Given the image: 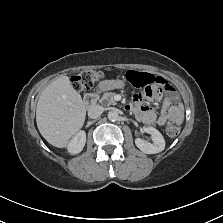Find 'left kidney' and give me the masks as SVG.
<instances>
[{
    "mask_svg": "<svg viewBox=\"0 0 223 223\" xmlns=\"http://www.w3.org/2000/svg\"><path fill=\"white\" fill-rule=\"evenodd\" d=\"M144 130L151 135L153 144L137 138L135 140L136 146L146 154H155L163 151L165 148V140L162 134L153 127H146Z\"/></svg>",
    "mask_w": 223,
    "mask_h": 223,
    "instance_id": "5707ae66",
    "label": "left kidney"
}]
</instances>
